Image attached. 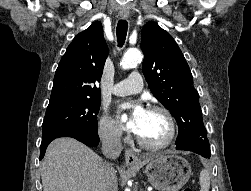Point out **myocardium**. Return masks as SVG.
I'll list each match as a JSON object with an SVG mask.
<instances>
[{"mask_svg": "<svg viewBox=\"0 0 251 191\" xmlns=\"http://www.w3.org/2000/svg\"><path fill=\"white\" fill-rule=\"evenodd\" d=\"M149 111L159 112L164 115V117L167 120L168 127H169L168 137L164 142L160 144H152V143L147 142L139 134H137L136 138H137L138 144L147 150H154V151L162 150V149H166L170 147L174 143L176 139V134H177L176 123H175V119L172 113L168 109L162 106H151L149 108Z\"/></svg>", "mask_w": 251, "mask_h": 191, "instance_id": "f54148a6", "label": "myocardium"}]
</instances>
